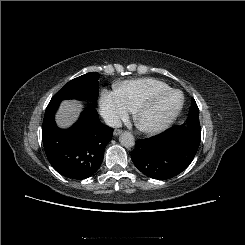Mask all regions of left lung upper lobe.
Listing matches in <instances>:
<instances>
[{"instance_id": "obj_1", "label": "left lung upper lobe", "mask_w": 245, "mask_h": 245, "mask_svg": "<svg viewBox=\"0 0 245 245\" xmlns=\"http://www.w3.org/2000/svg\"><path fill=\"white\" fill-rule=\"evenodd\" d=\"M180 127L196 132H201V127L199 122V109L193 98L191 102L190 113L186 121V126H180Z\"/></svg>"}]
</instances>
